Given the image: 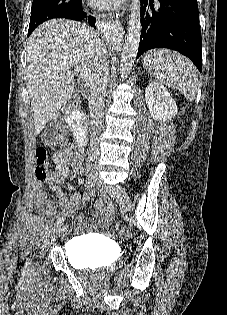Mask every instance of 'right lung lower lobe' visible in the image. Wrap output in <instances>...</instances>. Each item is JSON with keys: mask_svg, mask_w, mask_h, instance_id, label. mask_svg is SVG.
Segmentation results:
<instances>
[{"mask_svg": "<svg viewBox=\"0 0 227 315\" xmlns=\"http://www.w3.org/2000/svg\"><path fill=\"white\" fill-rule=\"evenodd\" d=\"M81 3H82V2H81V0H80V2H79L76 6H74L73 8H71V9L69 10V13H67L68 16L65 17V18H67V19H73V20H77V21H80V20L84 19L85 16H86V14L82 11ZM88 23H89L91 26L95 27V19H94V17L88 16Z\"/></svg>", "mask_w": 227, "mask_h": 315, "instance_id": "1", "label": "right lung lower lobe"}]
</instances>
